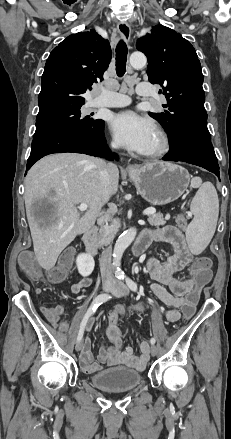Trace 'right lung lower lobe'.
Listing matches in <instances>:
<instances>
[{
    "label": "right lung lower lobe",
    "instance_id": "1",
    "mask_svg": "<svg viewBox=\"0 0 231 439\" xmlns=\"http://www.w3.org/2000/svg\"><path fill=\"white\" fill-rule=\"evenodd\" d=\"M103 130L104 124L100 130L90 133L56 132L34 138L27 170L40 158L53 153H84L113 160L114 156L109 153Z\"/></svg>",
    "mask_w": 231,
    "mask_h": 439
}]
</instances>
